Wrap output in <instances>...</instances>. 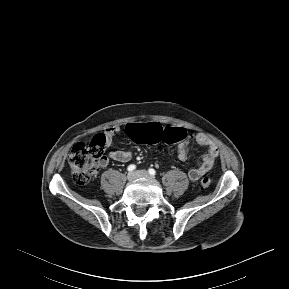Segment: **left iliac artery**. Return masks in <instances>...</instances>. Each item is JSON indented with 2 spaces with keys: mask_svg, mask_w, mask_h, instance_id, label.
Instances as JSON below:
<instances>
[{
  "mask_svg": "<svg viewBox=\"0 0 289 289\" xmlns=\"http://www.w3.org/2000/svg\"><path fill=\"white\" fill-rule=\"evenodd\" d=\"M149 174L155 176L156 175V171L153 168H150L149 170Z\"/></svg>",
  "mask_w": 289,
  "mask_h": 289,
  "instance_id": "obj_1",
  "label": "left iliac artery"
}]
</instances>
